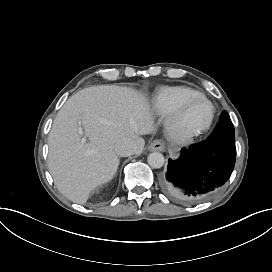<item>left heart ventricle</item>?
Returning a JSON list of instances; mask_svg holds the SVG:
<instances>
[{
  "label": "left heart ventricle",
  "mask_w": 272,
  "mask_h": 272,
  "mask_svg": "<svg viewBox=\"0 0 272 272\" xmlns=\"http://www.w3.org/2000/svg\"><path fill=\"white\" fill-rule=\"evenodd\" d=\"M211 108L209 104L200 98L187 105L181 115L183 128H199L206 125L210 119Z\"/></svg>",
  "instance_id": "left-heart-ventricle-1"
}]
</instances>
